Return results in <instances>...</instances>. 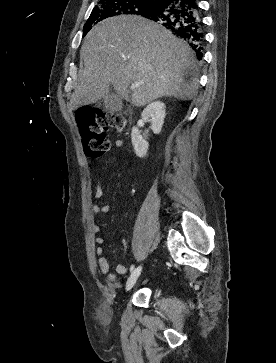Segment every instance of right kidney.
I'll return each mask as SVG.
<instances>
[{"instance_id":"obj_1","label":"right kidney","mask_w":276,"mask_h":363,"mask_svg":"<svg viewBox=\"0 0 276 363\" xmlns=\"http://www.w3.org/2000/svg\"><path fill=\"white\" fill-rule=\"evenodd\" d=\"M165 115V105L160 101L150 103L141 113L143 120H150L151 129L155 134H159L161 132ZM131 141L136 155L143 158L147 153L149 144L140 135V131L137 127L132 128Z\"/></svg>"}]
</instances>
